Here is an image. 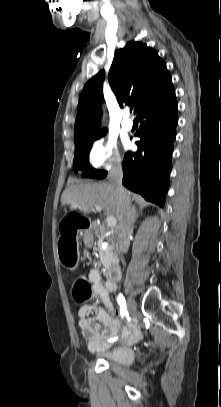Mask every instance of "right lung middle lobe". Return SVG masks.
<instances>
[{
	"label": "right lung middle lobe",
	"mask_w": 221,
	"mask_h": 407,
	"mask_svg": "<svg viewBox=\"0 0 221 407\" xmlns=\"http://www.w3.org/2000/svg\"><path fill=\"white\" fill-rule=\"evenodd\" d=\"M105 133L106 132L75 144V155L73 162L75 172H77V170H81L83 172L82 175L85 177L89 176L93 178H103L106 176V172L95 170L89 164V152L92 148L93 142L101 138L103 135H105Z\"/></svg>",
	"instance_id": "right-lung-middle-lobe-1"
}]
</instances>
